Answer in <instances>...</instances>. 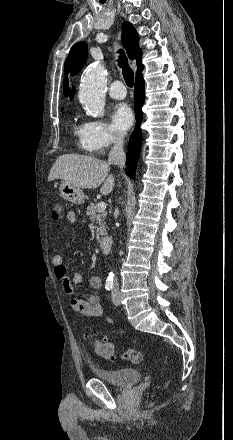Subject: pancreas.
I'll return each instance as SVG.
<instances>
[{
    "label": "pancreas",
    "mask_w": 233,
    "mask_h": 440,
    "mask_svg": "<svg viewBox=\"0 0 233 440\" xmlns=\"http://www.w3.org/2000/svg\"><path fill=\"white\" fill-rule=\"evenodd\" d=\"M86 215L89 216V219L92 222L98 224L96 230V238L98 241H100L101 237L106 235V227L105 223H103V219L105 218L106 213L104 211H98L97 204L91 203L87 207Z\"/></svg>",
    "instance_id": "pancreas-1"
}]
</instances>
